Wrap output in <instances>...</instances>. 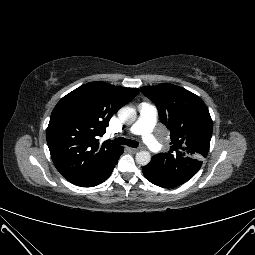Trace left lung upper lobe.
<instances>
[{"instance_id": "1", "label": "left lung upper lobe", "mask_w": 255, "mask_h": 255, "mask_svg": "<svg viewBox=\"0 0 255 255\" xmlns=\"http://www.w3.org/2000/svg\"><path fill=\"white\" fill-rule=\"evenodd\" d=\"M140 90L156 104L171 138L168 153L153 156L148 165L175 180H189L209 151L213 124L207 106L197 95L172 84Z\"/></svg>"}]
</instances>
